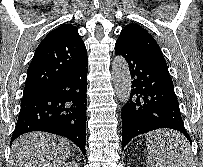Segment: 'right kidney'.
<instances>
[{"instance_id":"right-kidney-1","label":"right kidney","mask_w":203,"mask_h":167,"mask_svg":"<svg viewBox=\"0 0 203 167\" xmlns=\"http://www.w3.org/2000/svg\"><path fill=\"white\" fill-rule=\"evenodd\" d=\"M63 167H80L79 164L75 161L72 162H68L67 164H65V166Z\"/></svg>"}]
</instances>
